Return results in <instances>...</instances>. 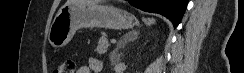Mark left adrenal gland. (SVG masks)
<instances>
[{"label":"left adrenal gland","instance_id":"left-adrenal-gland-1","mask_svg":"<svg viewBox=\"0 0 244 73\" xmlns=\"http://www.w3.org/2000/svg\"><path fill=\"white\" fill-rule=\"evenodd\" d=\"M138 35H139V31H135V30L126 33L117 43L115 52H118L119 49L124 48L128 42L135 41L138 38Z\"/></svg>","mask_w":244,"mask_h":73}]
</instances>
